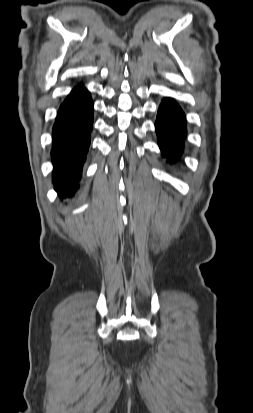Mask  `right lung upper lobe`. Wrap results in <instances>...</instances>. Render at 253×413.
I'll return each instance as SVG.
<instances>
[{"label": "right lung upper lobe", "instance_id": "1", "mask_svg": "<svg viewBox=\"0 0 253 413\" xmlns=\"http://www.w3.org/2000/svg\"><path fill=\"white\" fill-rule=\"evenodd\" d=\"M77 89H78V87H75V88L73 89V91H75V90H77ZM73 91H72V92H73Z\"/></svg>", "mask_w": 253, "mask_h": 413}]
</instances>
